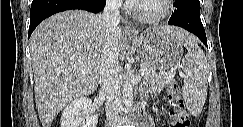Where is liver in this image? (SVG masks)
Returning <instances> with one entry per match:
<instances>
[{"mask_svg":"<svg viewBox=\"0 0 243 127\" xmlns=\"http://www.w3.org/2000/svg\"><path fill=\"white\" fill-rule=\"evenodd\" d=\"M163 28L175 35L188 34L173 27ZM107 30L101 15L69 10L49 17L33 32L30 51L35 103L43 127H51L71 101L96 90ZM114 41L119 53L125 43L120 28L114 33Z\"/></svg>","mask_w":243,"mask_h":127,"instance_id":"1","label":"liver"}]
</instances>
